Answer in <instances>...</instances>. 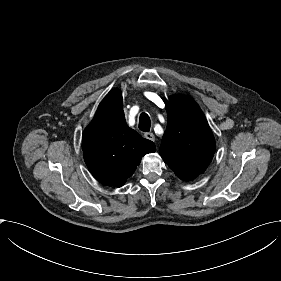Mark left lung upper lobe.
Returning <instances> with one entry per match:
<instances>
[{
	"label": "left lung upper lobe",
	"mask_w": 281,
	"mask_h": 281,
	"mask_svg": "<svg viewBox=\"0 0 281 281\" xmlns=\"http://www.w3.org/2000/svg\"><path fill=\"white\" fill-rule=\"evenodd\" d=\"M166 110L168 124L159 153L180 179H194L213 158V133L200 107L188 96L170 97Z\"/></svg>",
	"instance_id": "1"
}]
</instances>
